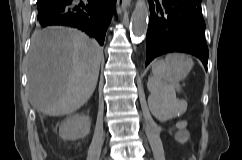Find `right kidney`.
Listing matches in <instances>:
<instances>
[{
	"label": "right kidney",
	"instance_id": "obj_1",
	"mask_svg": "<svg viewBox=\"0 0 242 160\" xmlns=\"http://www.w3.org/2000/svg\"><path fill=\"white\" fill-rule=\"evenodd\" d=\"M91 120L88 115L75 114L67 118L59 127V135L64 140H77L90 132Z\"/></svg>",
	"mask_w": 242,
	"mask_h": 160
}]
</instances>
